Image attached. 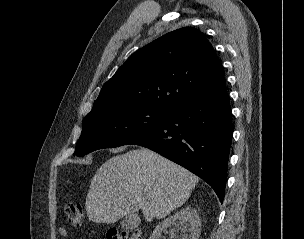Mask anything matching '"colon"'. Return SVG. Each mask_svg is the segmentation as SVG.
Returning a JSON list of instances; mask_svg holds the SVG:
<instances>
[{"mask_svg":"<svg viewBox=\"0 0 304 239\" xmlns=\"http://www.w3.org/2000/svg\"><path fill=\"white\" fill-rule=\"evenodd\" d=\"M68 222L73 226H80L84 219V208L80 203L68 202L64 205ZM107 239H142L137 230L110 229L106 234Z\"/></svg>","mask_w":304,"mask_h":239,"instance_id":"obj_1","label":"colon"}]
</instances>
